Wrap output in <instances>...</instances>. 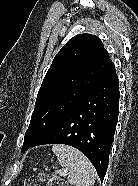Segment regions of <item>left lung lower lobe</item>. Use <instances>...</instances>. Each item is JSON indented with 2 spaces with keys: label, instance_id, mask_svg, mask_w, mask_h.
Returning a JSON list of instances; mask_svg holds the SVG:
<instances>
[{
  "label": "left lung lower lobe",
  "instance_id": "left-lung-lower-lobe-1",
  "mask_svg": "<svg viewBox=\"0 0 138 186\" xmlns=\"http://www.w3.org/2000/svg\"><path fill=\"white\" fill-rule=\"evenodd\" d=\"M119 83L115 68L60 122L27 148L66 144L80 150L103 181L118 120Z\"/></svg>",
  "mask_w": 138,
  "mask_h": 186
}]
</instances>
